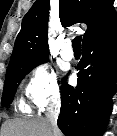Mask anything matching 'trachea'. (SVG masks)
Returning a JSON list of instances; mask_svg holds the SVG:
<instances>
[{
	"label": "trachea",
	"instance_id": "trachea-1",
	"mask_svg": "<svg viewBox=\"0 0 117 136\" xmlns=\"http://www.w3.org/2000/svg\"><path fill=\"white\" fill-rule=\"evenodd\" d=\"M81 40H82V38L79 37V36L75 37L72 40V47H73L74 51H80L81 50Z\"/></svg>",
	"mask_w": 117,
	"mask_h": 136
}]
</instances>
